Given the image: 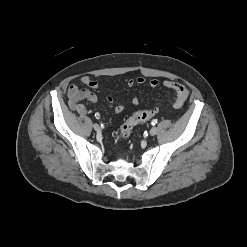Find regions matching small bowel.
Segmentation results:
<instances>
[{
	"label": "small bowel",
	"instance_id": "1",
	"mask_svg": "<svg viewBox=\"0 0 247 247\" xmlns=\"http://www.w3.org/2000/svg\"><path fill=\"white\" fill-rule=\"evenodd\" d=\"M145 82L146 79L140 76L136 79L127 80L125 84L128 87H133L136 84L141 85ZM80 83L90 89H97L99 87V83L90 76L81 77ZM148 85L152 88H156L160 85V81L158 79H151L149 80ZM162 85L174 93L172 106L175 109L181 108L188 97V89L183 84L171 80H165ZM67 97L69 107L80 115H84L87 112L86 105L82 102L83 100H86L93 105H96L98 102V97L94 92L89 89L80 88L77 84L70 85ZM107 99L110 103H113V99L110 96H108ZM132 104L135 106L139 104V98L136 95L132 97ZM124 108V104L119 103L114 106L113 110L115 113H121Z\"/></svg>",
	"mask_w": 247,
	"mask_h": 247
}]
</instances>
